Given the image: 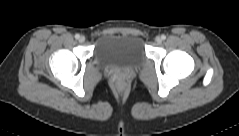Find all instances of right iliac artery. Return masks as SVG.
I'll list each match as a JSON object with an SVG mask.
<instances>
[{
  "label": "right iliac artery",
  "instance_id": "82829eb1",
  "mask_svg": "<svg viewBox=\"0 0 239 136\" xmlns=\"http://www.w3.org/2000/svg\"><path fill=\"white\" fill-rule=\"evenodd\" d=\"M75 38H76V39H79V38H80V35H79V34H76V35H75Z\"/></svg>",
  "mask_w": 239,
  "mask_h": 136
}]
</instances>
